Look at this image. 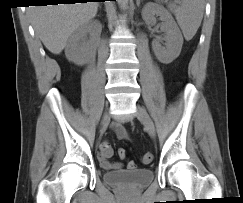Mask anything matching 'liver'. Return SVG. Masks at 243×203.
I'll use <instances>...</instances> for the list:
<instances>
[{
    "instance_id": "6515ba94",
    "label": "liver",
    "mask_w": 243,
    "mask_h": 203,
    "mask_svg": "<svg viewBox=\"0 0 243 203\" xmlns=\"http://www.w3.org/2000/svg\"><path fill=\"white\" fill-rule=\"evenodd\" d=\"M98 2L32 6L29 10L36 34L53 54H60L68 38L95 17Z\"/></svg>"
}]
</instances>
